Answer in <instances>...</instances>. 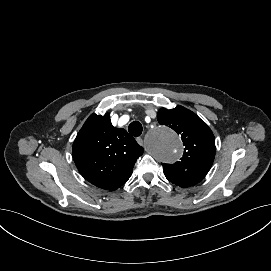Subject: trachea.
Returning a JSON list of instances; mask_svg holds the SVG:
<instances>
[{"label":"trachea","mask_w":271,"mask_h":271,"mask_svg":"<svg viewBox=\"0 0 271 271\" xmlns=\"http://www.w3.org/2000/svg\"><path fill=\"white\" fill-rule=\"evenodd\" d=\"M142 131H143L142 125L138 121L132 122L128 127V132L135 137L140 136L142 134Z\"/></svg>","instance_id":"trachea-1"}]
</instances>
